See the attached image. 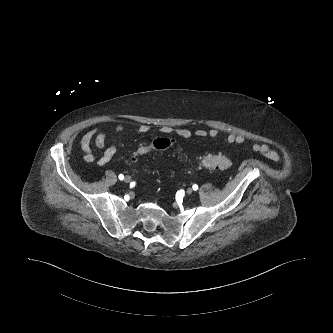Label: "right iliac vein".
I'll list each match as a JSON object with an SVG mask.
<instances>
[{
    "instance_id": "obj_1",
    "label": "right iliac vein",
    "mask_w": 333,
    "mask_h": 333,
    "mask_svg": "<svg viewBox=\"0 0 333 333\" xmlns=\"http://www.w3.org/2000/svg\"><path fill=\"white\" fill-rule=\"evenodd\" d=\"M124 181H125L126 183H129V182L131 181V177H130V176H126V177L124 178Z\"/></svg>"
}]
</instances>
